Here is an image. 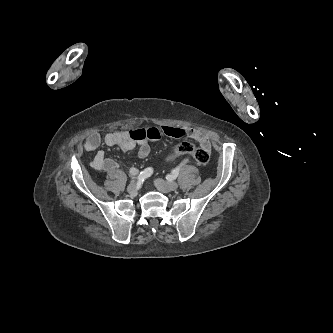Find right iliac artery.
Segmentation results:
<instances>
[{
    "label": "right iliac artery",
    "mask_w": 333,
    "mask_h": 333,
    "mask_svg": "<svg viewBox=\"0 0 333 333\" xmlns=\"http://www.w3.org/2000/svg\"><path fill=\"white\" fill-rule=\"evenodd\" d=\"M153 173V169L151 167L146 168L137 176L138 181H144L146 178L150 177Z\"/></svg>",
    "instance_id": "1"
}]
</instances>
